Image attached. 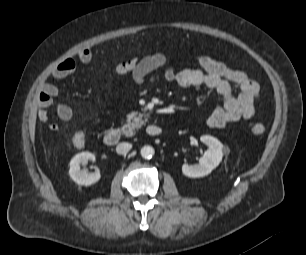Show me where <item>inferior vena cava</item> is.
<instances>
[{"mask_svg": "<svg viewBox=\"0 0 306 255\" xmlns=\"http://www.w3.org/2000/svg\"><path fill=\"white\" fill-rule=\"evenodd\" d=\"M132 148V145L130 143H120L117 145L116 147V152L118 154H121V155H125L129 152V150Z\"/></svg>", "mask_w": 306, "mask_h": 255, "instance_id": "obj_1", "label": "inferior vena cava"}]
</instances>
